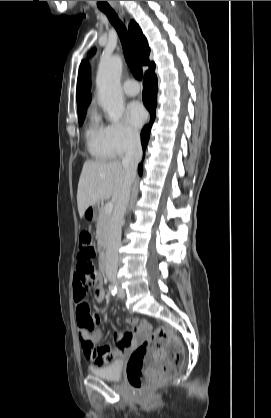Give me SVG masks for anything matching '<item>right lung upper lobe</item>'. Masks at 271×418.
Returning a JSON list of instances; mask_svg holds the SVG:
<instances>
[{
    "label": "right lung upper lobe",
    "instance_id": "obj_1",
    "mask_svg": "<svg viewBox=\"0 0 271 418\" xmlns=\"http://www.w3.org/2000/svg\"><path fill=\"white\" fill-rule=\"evenodd\" d=\"M129 32L135 43L137 57L141 64L148 65L149 69L155 67V64L149 61L150 49L148 47L147 40L134 20H131L129 24ZM90 87V68L88 64L82 62L79 67V74L77 79L78 115L86 113V109L91 101Z\"/></svg>",
    "mask_w": 271,
    "mask_h": 418
}]
</instances>
